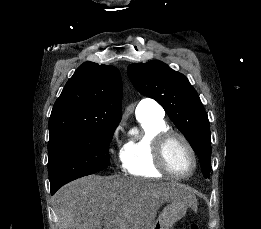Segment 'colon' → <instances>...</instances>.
Wrapping results in <instances>:
<instances>
[{
  "mask_svg": "<svg viewBox=\"0 0 261 229\" xmlns=\"http://www.w3.org/2000/svg\"><path fill=\"white\" fill-rule=\"evenodd\" d=\"M189 229H198V227L195 224H191Z\"/></svg>",
  "mask_w": 261,
  "mask_h": 229,
  "instance_id": "1",
  "label": "colon"
}]
</instances>
